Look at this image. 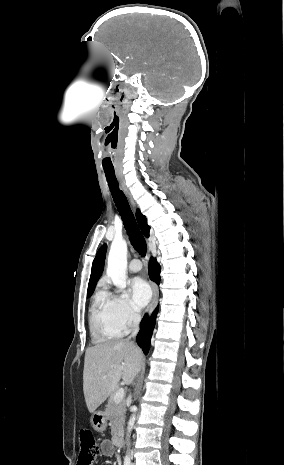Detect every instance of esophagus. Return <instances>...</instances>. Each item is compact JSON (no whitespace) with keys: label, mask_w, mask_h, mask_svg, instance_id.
<instances>
[{"label":"esophagus","mask_w":284,"mask_h":465,"mask_svg":"<svg viewBox=\"0 0 284 465\" xmlns=\"http://www.w3.org/2000/svg\"><path fill=\"white\" fill-rule=\"evenodd\" d=\"M115 173H116L117 179H118L122 189L124 190L125 194L127 195L129 201L131 202V205L133 207H135V203H134V200H133L130 192L127 190V188L123 184V181H122V178H121V175H120V171L116 170ZM151 287H152L153 295H152L151 302L149 303V305L147 307V312L149 314L154 310V308L157 305V301H158V289H157L156 284L152 282Z\"/></svg>","instance_id":"1"}]
</instances>
